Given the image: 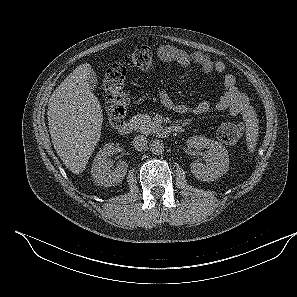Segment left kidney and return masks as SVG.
Wrapping results in <instances>:
<instances>
[{
	"label": "left kidney",
	"instance_id": "left-kidney-1",
	"mask_svg": "<svg viewBox=\"0 0 297 297\" xmlns=\"http://www.w3.org/2000/svg\"><path fill=\"white\" fill-rule=\"evenodd\" d=\"M187 145L190 148L206 150L203 155L205 164L199 161H194L191 164V172L198 180L214 181L228 171L229 155L222 144L206 137L195 135L187 139Z\"/></svg>",
	"mask_w": 297,
	"mask_h": 297
}]
</instances>
